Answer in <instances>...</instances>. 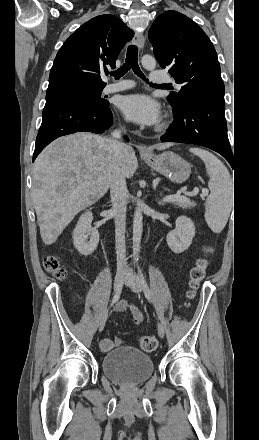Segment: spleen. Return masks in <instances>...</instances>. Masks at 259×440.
Here are the masks:
<instances>
[{
    "mask_svg": "<svg viewBox=\"0 0 259 440\" xmlns=\"http://www.w3.org/2000/svg\"><path fill=\"white\" fill-rule=\"evenodd\" d=\"M190 152L205 163L210 178L208 183L210 195L205 203V220L213 232L220 233L227 223L232 208V178L227 167L209 151L191 148Z\"/></svg>",
    "mask_w": 259,
    "mask_h": 440,
    "instance_id": "spleen-1",
    "label": "spleen"
}]
</instances>
